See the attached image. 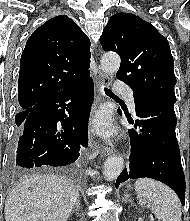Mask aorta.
<instances>
[{"label":"aorta","mask_w":190,"mask_h":221,"mask_svg":"<svg viewBox=\"0 0 190 221\" xmlns=\"http://www.w3.org/2000/svg\"><path fill=\"white\" fill-rule=\"evenodd\" d=\"M121 59L117 54L106 53L101 58V69L107 74H115L120 67ZM124 168L121 156L109 157L104 163V177L107 181L116 179Z\"/></svg>","instance_id":"obj_1"}]
</instances>
